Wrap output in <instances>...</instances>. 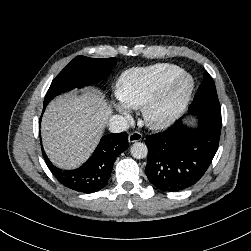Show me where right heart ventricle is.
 <instances>
[{
    "label": "right heart ventricle",
    "instance_id": "obj_1",
    "mask_svg": "<svg viewBox=\"0 0 251 251\" xmlns=\"http://www.w3.org/2000/svg\"><path fill=\"white\" fill-rule=\"evenodd\" d=\"M182 73L181 67L169 63L132 68L118 78L116 94L125 106L138 109L164 85Z\"/></svg>",
    "mask_w": 251,
    "mask_h": 251
}]
</instances>
